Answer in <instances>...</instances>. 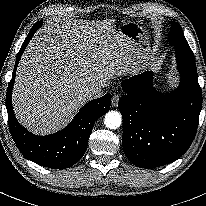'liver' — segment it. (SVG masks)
Wrapping results in <instances>:
<instances>
[{
  "label": "liver",
  "instance_id": "1",
  "mask_svg": "<svg viewBox=\"0 0 206 206\" xmlns=\"http://www.w3.org/2000/svg\"><path fill=\"white\" fill-rule=\"evenodd\" d=\"M132 41L107 21L67 19L32 38L18 64L12 101L18 121L36 134L66 126L115 75L135 72Z\"/></svg>",
  "mask_w": 206,
  "mask_h": 206
}]
</instances>
